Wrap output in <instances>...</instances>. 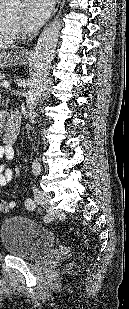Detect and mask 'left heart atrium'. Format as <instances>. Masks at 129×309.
Masks as SVG:
<instances>
[{
    "instance_id": "39dd6f15",
    "label": "left heart atrium",
    "mask_w": 129,
    "mask_h": 309,
    "mask_svg": "<svg viewBox=\"0 0 129 309\" xmlns=\"http://www.w3.org/2000/svg\"><path fill=\"white\" fill-rule=\"evenodd\" d=\"M53 0H24L21 23L27 30L38 29L50 14Z\"/></svg>"
}]
</instances>
